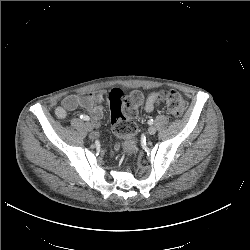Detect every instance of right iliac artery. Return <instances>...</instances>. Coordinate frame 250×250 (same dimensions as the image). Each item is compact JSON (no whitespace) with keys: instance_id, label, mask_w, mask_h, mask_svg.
Masks as SVG:
<instances>
[{"instance_id":"82829eb1","label":"right iliac artery","mask_w":250,"mask_h":250,"mask_svg":"<svg viewBox=\"0 0 250 250\" xmlns=\"http://www.w3.org/2000/svg\"><path fill=\"white\" fill-rule=\"evenodd\" d=\"M80 118L82 120H85V121H89L90 120L89 116H87V115H80Z\"/></svg>"}]
</instances>
